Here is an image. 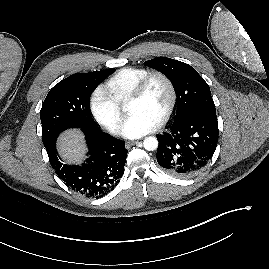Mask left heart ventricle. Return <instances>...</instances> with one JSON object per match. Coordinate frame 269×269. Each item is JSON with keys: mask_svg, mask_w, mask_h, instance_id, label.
Segmentation results:
<instances>
[{"mask_svg": "<svg viewBox=\"0 0 269 269\" xmlns=\"http://www.w3.org/2000/svg\"><path fill=\"white\" fill-rule=\"evenodd\" d=\"M169 102V90L161 79H154L149 85L145 95L137 101L130 102V114L141 113L156 123L163 115Z\"/></svg>", "mask_w": 269, "mask_h": 269, "instance_id": "1", "label": "left heart ventricle"}]
</instances>
